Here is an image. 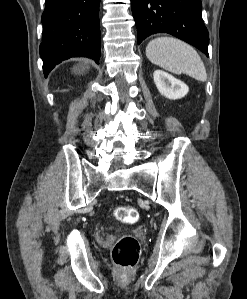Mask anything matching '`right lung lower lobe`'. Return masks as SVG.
<instances>
[{"label": "right lung lower lobe", "mask_w": 247, "mask_h": 299, "mask_svg": "<svg viewBox=\"0 0 247 299\" xmlns=\"http://www.w3.org/2000/svg\"><path fill=\"white\" fill-rule=\"evenodd\" d=\"M100 0H46L40 55L45 76L62 61L87 57L99 64Z\"/></svg>", "instance_id": "right-lung-lower-lobe-1"}]
</instances>
